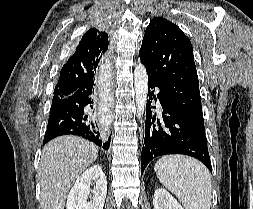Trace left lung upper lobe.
<instances>
[{
	"mask_svg": "<svg viewBox=\"0 0 253 209\" xmlns=\"http://www.w3.org/2000/svg\"><path fill=\"white\" fill-rule=\"evenodd\" d=\"M148 76L164 89L171 105L195 128L205 131L199 81L190 40L162 17L146 28L139 51Z\"/></svg>",
	"mask_w": 253,
	"mask_h": 209,
	"instance_id": "left-lung-upper-lobe-1",
	"label": "left lung upper lobe"
}]
</instances>
